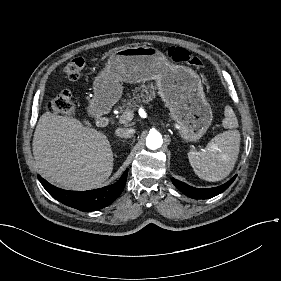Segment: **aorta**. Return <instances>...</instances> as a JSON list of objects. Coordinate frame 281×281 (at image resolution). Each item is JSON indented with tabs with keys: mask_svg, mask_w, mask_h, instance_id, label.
I'll list each match as a JSON object with an SVG mask.
<instances>
[{
	"mask_svg": "<svg viewBox=\"0 0 281 281\" xmlns=\"http://www.w3.org/2000/svg\"><path fill=\"white\" fill-rule=\"evenodd\" d=\"M163 139L159 132L156 130L150 131L146 138V145L149 149L155 150L162 146Z\"/></svg>",
	"mask_w": 281,
	"mask_h": 281,
	"instance_id": "762f6f07",
	"label": "aorta"
}]
</instances>
